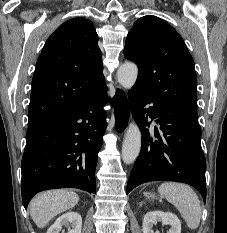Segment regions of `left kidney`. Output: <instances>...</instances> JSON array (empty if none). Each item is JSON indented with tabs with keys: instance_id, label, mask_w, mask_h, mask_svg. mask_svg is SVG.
Listing matches in <instances>:
<instances>
[{
	"instance_id": "1",
	"label": "left kidney",
	"mask_w": 227,
	"mask_h": 233,
	"mask_svg": "<svg viewBox=\"0 0 227 233\" xmlns=\"http://www.w3.org/2000/svg\"><path fill=\"white\" fill-rule=\"evenodd\" d=\"M161 221L164 225H170L168 233H181V222L179 218L170 212L153 211L148 212L143 219V233H154L153 225Z\"/></svg>"
}]
</instances>
